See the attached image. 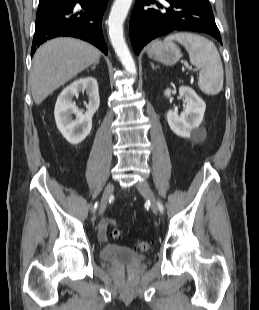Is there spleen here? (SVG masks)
<instances>
[{
    "label": "spleen",
    "mask_w": 259,
    "mask_h": 310,
    "mask_svg": "<svg viewBox=\"0 0 259 310\" xmlns=\"http://www.w3.org/2000/svg\"><path fill=\"white\" fill-rule=\"evenodd\" d=\"M175 40L185 47L191 64L200 69L198 86L207 95L218 94L223 87L224 71L219 52L209 39L188 32L169 35L164 43Z\"/></svg>",
    "instance_id": "1"
}]
</instances>
